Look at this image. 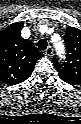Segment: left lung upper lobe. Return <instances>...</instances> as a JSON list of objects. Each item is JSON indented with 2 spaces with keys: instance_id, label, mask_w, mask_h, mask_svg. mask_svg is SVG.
I'll return each instance as SVG.
<instances>
[{
  "instance_id": "obj_1",
  "label": "left lung upper lobe",
  "mask_w": 81,
  "mask_h": 124,
  "mask_svg": "<svg viewBox=\"0 0 81 124\" xmlns=\"http://www.w3.org/2000/svg\"><path fill=\"white\" fill-rule=\"evenodd\" d=\"M66 60L59 62L53 58V64L60 78L71 85L81 84V30L68 27L64 35Z\"/></svg>"
}]
</instances>
